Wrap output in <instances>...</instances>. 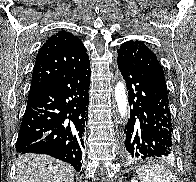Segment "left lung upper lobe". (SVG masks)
Returning <instances> with one entry per match:
<instances>
[{
	"instance_id": "5c2ea615",
	"label": "left lung upper lobe",
	"mask_w": 196,
	"mask_h": 182,
	"mask_svg": "<svg viewBox=\"0 0 196 182\" xmlns=\"http://www.w3.org/2000/svg\"><path fill=\"white\" fill-rule=\"evenodd\" d=\"M118 57L126 58L133 66L152 76L167 90L163 68L144 42L137 40L124 42L118 49Z\"/></svg>"
}]
</instances>
